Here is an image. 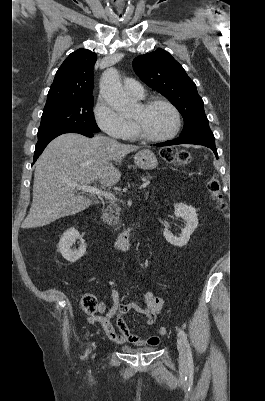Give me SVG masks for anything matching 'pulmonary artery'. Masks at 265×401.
Here are the masks:
<instances>
[{
	"instance_id": "e3ab8cb5",
	"label": "pulmonary artery",
	"mask_w": 265,
	"mask_h": 401,
	"mask_svg": "<svg viewBox=\"0 0 265 401\" xmlns=\"http://www.w3.org/2000/svg\"><path fill=\"white\" fill-rule=\"evenodd\" d=\"M123 88L126 92L129 94L135 96V97H143L144 95V90L142 87L139 85L137 81H124L123 82Z\"/></svg>"
}]
</instances>
